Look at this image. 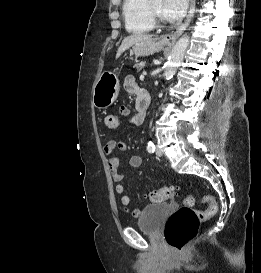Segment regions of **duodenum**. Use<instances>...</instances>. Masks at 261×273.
<instances>
[{"instance_id": "obj_1", "label": "duodenum", "mask_w": 261, "mask_h": 273, "mask_svg": "<svg viewBox=\"0 0 261 273\" xmlns=\"http://www.w3.org/2000/svg\"><path fill=\"white\" fill-rule=\"evenodd\" d=\"M150 104V96L146 92H142L136 100L137 112L133 117V123L136 125H141L144 122L146 111Z\"/></svg>"}]
</instances>
